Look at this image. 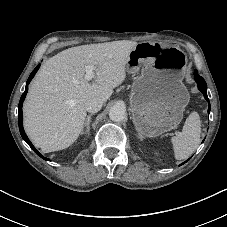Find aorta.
I'll list each match as a JSON object with an SVG mask.
<instances>
[{"label": "aorta", "mask_w": 227, "mask_h": 227, "mask_svg": "<svg viewBox=\"0 0 227 227\" xmlns=\"http://www.w3.org/2000/svg\"><path fill=\"white\" fill-rule=\"evenodd\" d=\"M109 117L115 122L123 121L126 117V109L123 106L114 105L109 110Z\"/></svg>", "instance_id": "obj_1"}]
</instances>
